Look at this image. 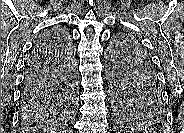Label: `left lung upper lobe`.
<instances>
[{
  "instance_id": "1",
  "label": "left lung upper lobe",
  "mask_w": 184,
  "mask_h": 133,
  "mask_svg": "<svg viewBox=\"0 0 184 133\" xmlns=\"http://www.w3.org/2000/svg\"><path fill=\"white\" fill-rule=\"evenodd\" d=\"M108 68L114 104L121 115L145 127L165 124L163 98L152 89L155 69L136 40L117 38L109 50Z\"/></svg>"
}]
</instances>
